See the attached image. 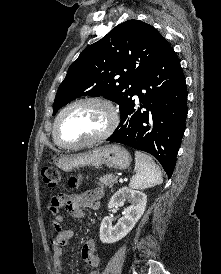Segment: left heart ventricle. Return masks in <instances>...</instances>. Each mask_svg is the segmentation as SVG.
<instances>
[{"mask_svg": "<svg viewBox=\"0 0 221 274\" xmlns=\"http://www.w3.org/2000/svg\"><path fill=\"white\" fill-rule=\"evenodd\" d=\"M108 124L105 108L93 103L74 106L62 117L59 137L66 143H78L100 134Z\"/></svg>", "mask_w": 221, "mask_h": 274, "instance_id": "left-heart-ventricle-1", "label": "left heart ventricle"}]
</instances>
